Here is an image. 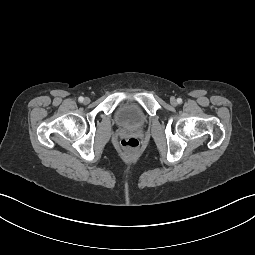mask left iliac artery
<instances>
[{
    "mask_svg": "<svg viewBox=\"0 0 255 255\" xmlns=\"http://www.w3.org/2000/svg\"><path fill=\"white\" fill-rule=\"evenodd\" d=\"M177 102H178L179 104H181V103H182V99H181V98H178V99H177Z\"/></svg>",
    "mask_w": 255,
    "mask_h": 255,
    "instance_id": "1",
    "label": "left iliac artery"
}]
</instances>
